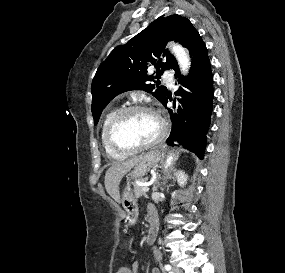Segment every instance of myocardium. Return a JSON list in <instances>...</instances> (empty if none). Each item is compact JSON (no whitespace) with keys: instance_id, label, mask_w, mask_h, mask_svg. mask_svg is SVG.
<instances>
[{"instance_id":"obj_1","label":"myocardium","mask_w":285,"mask_h":273,"mask_svg":"<svg viewBox=\"0 0 285 273\" xmlns=\"http://www.w3.org/2000/svg\"><path fill=\"white\" fill-rule=\"evenodd\" d=\"M137 111L148 112L151 115H153L159 124V133L153 140L141 145H136V146L122 145L121 143L118 142L116 138L117 128L126 115ZM167 131H168L167 121L159 111L147 105L131 104L119 109L116 112V114L112 117L107 128V141L109 145L118 152L125 154L136 153L151 148L156 144H158L159 142H161L167 135Z\"/></svg>"}]
</instances>
